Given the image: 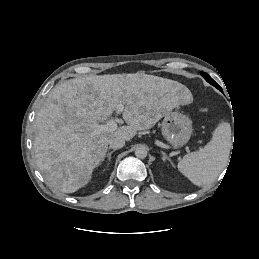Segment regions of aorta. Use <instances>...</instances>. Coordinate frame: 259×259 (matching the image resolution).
Instances as JSON below:
<instances>
[{
	"label": "aorta",
	"instance_id": "aorta-1",
	"mask_svg": "<svg viewBox=\"0 0 259 259\" xmlns=\"http://www.w3.org/2000/svg\"><path fill=\"white\" fill-rule=\"evenodd\" d=\"M135 156L140 159H144L147 156V150L144 147H138L135 150Z\"/></svg>",
	"mask_w": 259,
	"mask_h": 259
}]
</instances>
